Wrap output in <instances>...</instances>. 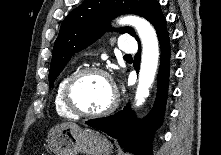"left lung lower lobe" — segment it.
I'll list each match as a JSON object with an SVG mask.
<instances>
[{
  "label": "left lung lower lobe",
  "mask_w": 221,
  "mask_h": 155,
  "mask_svg": "<svg viewBox=\"0 0 221 155\" xmlns=\"http://www.w3.org/2000/svg\"><path fill=\"white\" fill-rule=\"evenodd\" d=\"M148 21L156 28L161 46L158 90L151 112L145 118L139 120L130 110L128 104L122 111L114 115L86 121L87 125L99 129L117 139L121 147L135 155H151L153 134L162 124L168 91L170 45L169 35L166 29V20L161 12L160 4L153 9ZM136 40L140 44L138 37ZM140 54L141 51L139 49L134 58V67L136 70H139Z\"/></svg>",
  "instance_id": "left-lung-lower-lobe-1"
}]
</instances>
